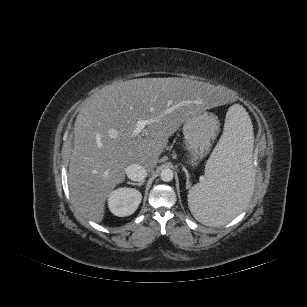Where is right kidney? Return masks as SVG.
Here are the masks:
<instances>
[{"label":"right kidney","instance_id":"right-kidney-1","mask_svg":"<svg viewBox=\"0 0 307 307\" xmlns=\"http://www.w3.org/2000/svg\"><path fill=\"white\" fill-rule=\"evenodd\" d=\"M142 199L141 193L133 188H118L108 196L110 211L119 217L129 216L138 208Z\"/></svg>","mask_w":307,"mask_h":307}]
</instances>
